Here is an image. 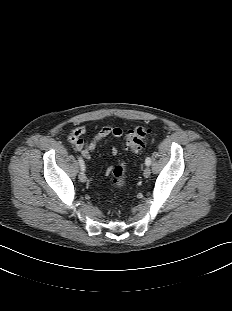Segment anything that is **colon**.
I'll list each match as a JSON object with an SVG mask.
<instances>
[{"instance_id": "colon-1", "label": "colon", "mask_w": 232, "mask_h": 311, "mask_svg": "<svg viewBox=\"0 0 232 311\" xmlns=\"http://www.w3.org/2000/svg\"><path fill=\"white\" fill-rule=\"evenodd\" d=\"M148 134L149 130L142 126H137L129 130L125 135L126 147L132 152H138L142 148L143 142ZM112 175L114 178V184L117 187H123L125 185L123 165H116L113 167Z\"/></svg>"}]
</instances>
